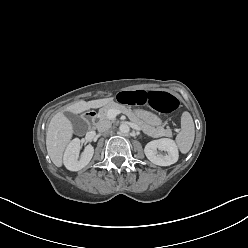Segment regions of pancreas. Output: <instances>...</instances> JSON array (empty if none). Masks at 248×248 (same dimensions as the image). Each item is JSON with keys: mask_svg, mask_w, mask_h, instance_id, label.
Here are the masks:
<instances>
[{"mask_svg": "<svg viewBox=\"0 0 248 248\" xmlns=\"http://www.w3.org/2000/svg\"><path fill=\"white\" fill-rule=\"evenodd\" d=\"M110 109H115V110H119L122 113L126 114L129 119L136 123L137 125H139L141 127V129L147 133L148 135H152V136H167V137H171L172 136V132L169 128L164 129L162 126H158V127H153L150 126L148 124H146L144 121H142L141 119H139L136 114L128 107L115 103V102H111L107 105H105L104 107H102L99 110V118L100 119H108L107 117V112Z\"/></svg>", "mask_w": 248, "mask_h": 248, "instance_id": "1", "label": "pancreas"}]
</instances>
